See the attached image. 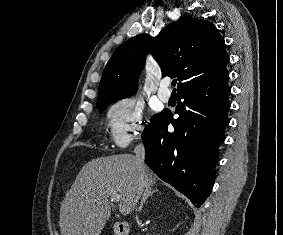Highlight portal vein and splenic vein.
Listing matches in <instances>:
<instances>
[{"label":"portal vein and splenic vein","mask_w":283,"mask_h":235,"mask_svg":"<svg viewBox=\"0 0 283 235\" xmlns=\"http://www.w3.org/2000/svg\"><path fill=\"white\" fill-rule=\"evenodd\" d=\"M111 201L114 202H119L120 201V196L116 192H111Z\"/></svg>","instance_id":"1"}]
</instances>
